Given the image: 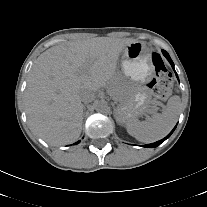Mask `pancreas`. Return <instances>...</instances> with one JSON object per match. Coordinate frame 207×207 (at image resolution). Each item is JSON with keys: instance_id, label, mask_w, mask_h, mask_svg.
<instances>
[{"instance_id": "cf45deb5", "label": "pancreas", "mask_w": 207, "mask_h": 207, "mask_svg": "<svg viewBox=\"0 0 207 207\" xmlns=\"http://www.w3.org/2000/svg\"><path fill=\"white\" fill-rule=\"evenodd\" d=\"M112 95H114L117 99L120 98L121 92L116 88V86H112Z\"/></svg>"}]
</instances>
